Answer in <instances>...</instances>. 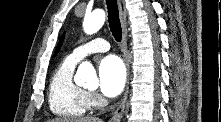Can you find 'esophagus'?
<instances>
[{"label": "esophagus", "mask_w": 221, "mask_h": 122, "mask_svg": "<svg viewBox=\"0 0 221 122\" xmlns=\"http://www.w3.org/2000/svg\"><path fill=\"white\" fill-rule=\"evenodd\" d=\"M118 7H119V17H120V22H121V27H122V52H123L124 61H125L126 68H127V81H126L124 96L121 99L113 116L111 117L110 122H120L124 113V109H125V105H126V101L128 97V92H129L130 55H129L128 46H127V21H126L127 10L125 6V1L118 0Z\"/></svg>", "instance_id": "obj_1"}]
</instances>
